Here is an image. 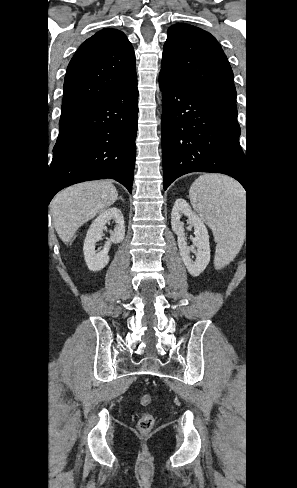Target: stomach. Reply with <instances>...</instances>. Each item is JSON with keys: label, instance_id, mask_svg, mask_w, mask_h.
<instances>
[{"label": "stomach", "instance_id": "1", "mask_svg": "<svg viewBox=\"0 0 297 488\" xmlns=\"http://www.w3.org/2000/svg\"><path fill=\"white\" fill-rule=\"evenodd\" d=\"M221 255L224 256V253L222 252Z\"/></svg>", "mask_w": 297, "mask_h": 488}]
</instances>
